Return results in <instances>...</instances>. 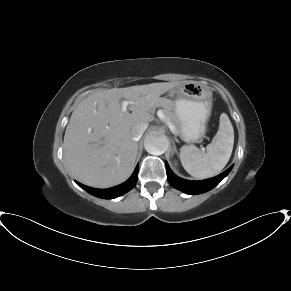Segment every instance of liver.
I'll return each instance as SVG.
<instances>
[{
  "mask_svg": "<svg viewBox=\"0 0 291 291\" xmlns=\"http://www.w3.org/2000/svg\"><path fill=\"white\" fill-rule=\"evenodd\" d=\"M176 82L113 88L97 91L81 101L72 112L64 136V158L73 174L86 185L107 188L124 182L132 173L138 143L132 128L154 120L159 96ZM133 101L122 112L120 100Z\"/></svg>",
  "mask_w": 291,
  "mask_h": 291,
  "instance_id": "liver-1",
  "label": "liver"
}]
</instances>
